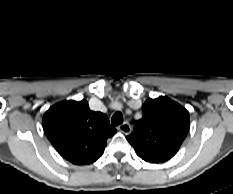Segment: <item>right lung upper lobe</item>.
<instances>
[{
  "mask_svg": "<svg viewBox=\"0 0 233 194\" xmlns=\"http://www.w3.org/2000/svg\"><path fill=\"white\" fill-rule=\"evenodd\" d=\"M42 125L57 152L76 165L95 162L102 156L106 140L116 133L107 116L91 111L86 100L63 101L50 107Z\"/></svg>",
  "mask_w": 233,
  "mask_h": 194,
  "instance_id": "1",
  "label": "right lung upper lobe"
}]
</instances>
